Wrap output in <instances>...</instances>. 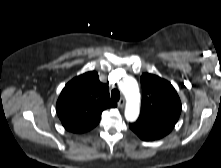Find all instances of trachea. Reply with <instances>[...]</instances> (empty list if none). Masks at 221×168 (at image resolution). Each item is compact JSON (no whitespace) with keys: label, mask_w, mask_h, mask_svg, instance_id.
Segmentation results:
<instances>
[{"label":"trachea","mask_w":221,"mask_h":168,"mask_svg":"<svg viewBox=\"0 0 221 168\" xmlns=\"http://www.w3.org/2000/svg\"><path fill=\"white\" fill-rule=\"evenodd\" d=\"M111 98L115 101H118L120 99V92L117 89H113L111 91Z\"/></svg>","instance_id":"3493384b"}]
</instances>
